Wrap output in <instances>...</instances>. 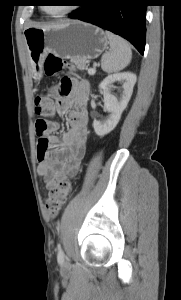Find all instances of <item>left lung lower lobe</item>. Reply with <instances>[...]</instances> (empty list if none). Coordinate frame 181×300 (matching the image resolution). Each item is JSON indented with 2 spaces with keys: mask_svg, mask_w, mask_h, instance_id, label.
Returning <instances> with one entry per match:
<instances>
[{
  "mask_svg": "<svg viewBox=\"0 0 181 300\" xmlns=\"http://www.w3.org/2000/svg\"><path fill=\"white\" fill-rule=\"evenodd\" d=\"M80 9L69 14L116 33L144 53L146 38L145 0H83Z\"/></svg>",
  "mask_w": 181,
  "mask_h": 300,
  "instance_id": "0a47b994",
  "label": "left lung lower lobe"
}]
</instances>
